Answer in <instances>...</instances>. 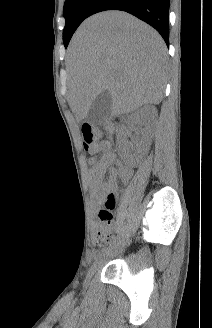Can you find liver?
I'll return each mask as SVG.
<instances>
[{
	"label": "liver",
	"mask_w": 212,
	"mask_h": 328,
	"mask_svg": "<svg viewBox=\"0 0 212 328\" xmlns=\"http://www.w3.org/2000/svg\"><path fill=\"white\" fill-rule=\"evenodd\" d=\"M166 65V45L146 23L121 11L87 18L72 37L67 57V100L76 120L86 118L104 91L111 94L114 116L159 104Z\"/></svg>",
	"instance_id": "liver-1"
}]
</instances>
